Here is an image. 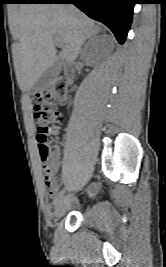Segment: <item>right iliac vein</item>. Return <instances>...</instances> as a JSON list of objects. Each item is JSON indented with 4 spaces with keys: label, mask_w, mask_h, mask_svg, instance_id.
<instances>
[{
    "label": "right iliac vein",
    "mask_w": 166,
    "mask_h": 267,
    "mask_svg": "<svg viewBox=\"0 0 166 267\" xmlns=\"http://www.w3.org/2000/svg\"><path fill=\"white\" fill-rule=\"evenodd\" d=\"M73 199H74L73 194L68 195L56 205L55 211H54V216L56 219L61 218L66 213Z\"/></svg>",
    "instance_id": "right-iliac-vein-1"
}]
</instances>
